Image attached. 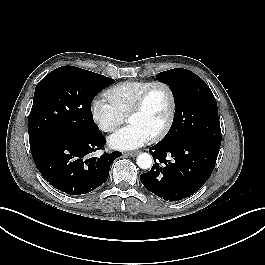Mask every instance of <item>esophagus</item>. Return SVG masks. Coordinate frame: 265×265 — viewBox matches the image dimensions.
<instances>
[{"mask_svg": "<svg viewBox=\"0 0 265 265\" xmlns=\"http://www.w3.org/2000/svg\"><path fill=\"white\" fill-rule=\"evenodd\" d=\"M137 154H138L137 151H135V152H125L124 153L125 156H130V157H135Z\"/></svg>", "mask_w": 265, "mask_h": 265, "instance_id": "34e87169", "label": "esophagus"}]
</instances>
